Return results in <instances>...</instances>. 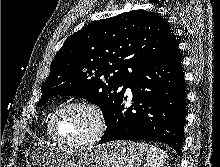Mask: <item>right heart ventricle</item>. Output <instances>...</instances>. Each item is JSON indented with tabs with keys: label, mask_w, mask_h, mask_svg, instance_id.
Masks as SVG:
<instances>
[{
	"label": "right heart ventricle",
	"mask_w": 220,
	"mask_h": 167,
	"mask_svg": "<svg viewBox=\"0 0 220 167\" xmlns=\"http://www.w3.org/2000/svg\"><path fill=\"white\" fill-rule=\"evenodd\" d=\"M49 121H48L47 126H46V135H47L48 138H51L50 133H49Z\"/></svg>",
	"instance_id": "e07e8e85"
}]
</instances>
